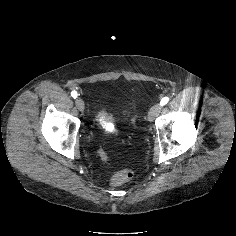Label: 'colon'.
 Returning <instances> with one entry per match:
<instances>
[{
	"label": "colon",
	"instance_id": "5ec220e1",
	"mask_svg": "<svg viewBox=\"0 0 236 236\" xmlns=\"http://www.w3.org/2000/svg\"><path fill=\"white\" fill-rule=\"evenodd\" d=\"M136 121H137V116H134L131 121L133 128L136 127ZM98 155L104 163H108V157L103 148H100L98 150ZM132 178H133V172L130 169H123L122 171L117 172L116 174L113 175V177L111 178V184L113 186H119L121 184L130 181Z\"/></svg>",
	"mask_w": 236,
	"mask_h": 236
}]
</instances>
